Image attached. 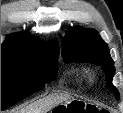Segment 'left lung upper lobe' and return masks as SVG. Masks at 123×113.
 Instances as JSON below:
<instances>
[{
    "label": "left lung upper lobe",
    "instance_id": "1",
    "mask_svg": "<svg viewBox=\"0 0 123 113\" xmlns=\"http://www.w3.org/2000/svg\"><path fill=\"white\" fill-rule=\"evenodd\" d=\"M62 56L66 63L89 62L101 66L106 75L107 85L115 93L116 98H119L118 90L112 85V78L115 74L114 62L107 44L96 31L81 27L71 28L63 41Z\"/></svg>",
    "mask_w": 123,
    "mask_h": 113
}]
</instances>
